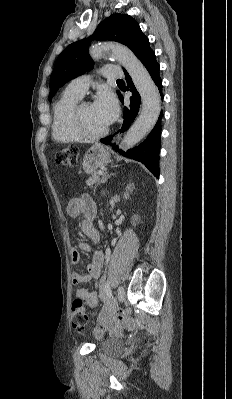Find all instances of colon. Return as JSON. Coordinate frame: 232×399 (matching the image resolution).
<instances>
[{
  "label": "colon",
  "mask_w": 232,
  "mask_h": 399,
  "mask_svg": "<svg viewBox=\"0 0 232 399\" xmlns=\"http://www.w3.org/2000/svg\"><path fill=\"white\" fill-rule=\"evenodd\" d=\"M79 157V150L75 149L73 154V145H68V149L62 151L61 154H56V165H77V158ZM76 301H81V296H76ZM75 311L71 312V330H76V325H81V333L85 334L86 330H94L93 322L87 323L86 309H81L83 307L82 303L74 304ZM104 324H128L129 318L126 313L125 308H120L119 313H105ZM113 335V328H104V326H99V330H96V335Z\"/></svg>",
  "instance_id": "1"
}]
</instances>
